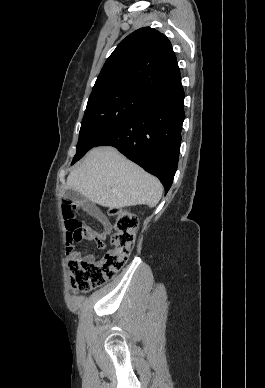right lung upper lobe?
I'll use <instances>...</instances> for the list:
<instances>
[{
	"label": "right lung upper lobe",
	"instance_id": "cb5924a9",
	"mask_svg": "<svg viewBox=\"0 0 265 388\" xmlns=\"http://www.w3.org/2000/svg\"><path fill=\"white\" fill-rule=\"evenodd\" d=\"M180 81L170 41L159 31L144 27L128 35L112 52L92 93L123 91L146 98Z\"/></svg>",
	"mask_w": 265,
	"mask_h": 388
}]
</instances>
